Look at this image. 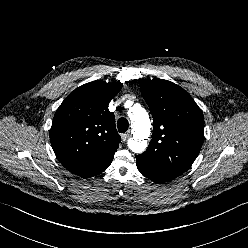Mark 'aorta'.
Instances as JSON below:
<instances>
[{
	"mask_svg": "<svg viewBox=\"0 0 248 248\" xmlns=\"http://www.w3.org/2000/svg\"><path fill=\"white\" fill-rule=\"evenodd\" d=\"M133 137L129 142L130 149L141 153L146 148V140L150 136V118L147 111L141 106H134L129 111Z\"/></svg>",
	"mask_w": 248,
	"mask_h": 248,
	"instance_id": "1",
	"label": "aorta"
}]
</instances>
